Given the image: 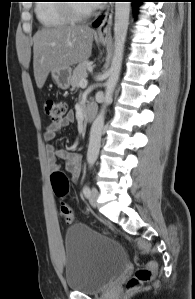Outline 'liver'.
Wrapping results in <instances>:
<instances>
[{
  "label": "liver",
  "mask_w": 195,
  "mask_h": 299,
  "mask_svg": "<svg viewBox=\"0 0 195 299\" xmlns=\"http://www.w3.org/2000/svg\"><path fill=\"white\" fill-rule=\"evenodd\" d=\"M94 30L85 25H60L38 30L33 37V68L41 89L50 71L65 69L91 56Z\"/></svg>",
  "instance_id": "1"
}]
</instances>
